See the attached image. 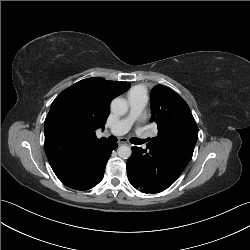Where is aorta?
<instances>
[{
    "label": "aorta",
    "mask_w": 250,
    "mask_h": 250,
    "mask_svg": "<svg viewBox=\"0 0 250 250\" xmlns=\"http://www.w3.org/2000/svg\"><path fill=\"white\" fill-rule=\"evenodd\" d=\"M111 111L116 115H125L128 111V104L124 98L117 97L111 102ZM118 156L123 159H128L131 156V148L122 145L117 150Z\"/></svg>",
    "instance_id": "obj_1"
}]
</instances>
